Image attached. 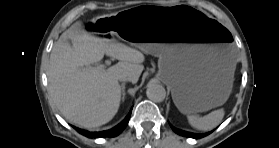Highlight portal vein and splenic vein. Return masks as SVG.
I'll list each match as a JSON object with an SVG mask.
<instances>
[{
	"label": "portal vein and splenic vein",
	"mask_w": 279,
	"mask_h": 148,
	"mask_svg": "<svg viewBox=\"0 0 279 148\" xmlns=\"http://www.w3.org/2000/svg\"><path fill=\"white\" fill-rule=\"evenodd\" d=\"M110 64H111V61L107 60V61L105 62V65H100V66L97 67V68H104L105 66H109ZM87 68L90 69V70H96V67H92V66H88Z\"/></svg>",
	"instance_id": "1"
}]
</instances>
